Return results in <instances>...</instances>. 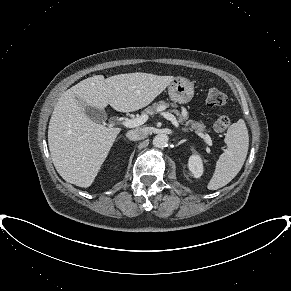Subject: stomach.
Segmentation results:
<instances>
[{"instance_id":"stomach-1","label":"stomach","mask_w":291,"mask_h":291,"mask_svg":"<svg viewBox=\"0 0 291 291\" xmlns=\"http://www.w3.org/2000/svg\"><path fill=\"white\" fill-rule=\"evenodd\" d=\"M168 94L174 102L186 104L194 96V85L184 77H175L168 86Z\"/></svg>"}]
</instances>
